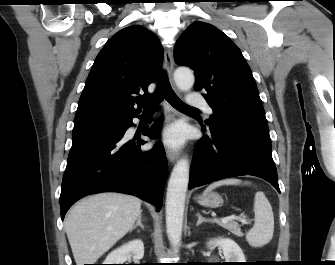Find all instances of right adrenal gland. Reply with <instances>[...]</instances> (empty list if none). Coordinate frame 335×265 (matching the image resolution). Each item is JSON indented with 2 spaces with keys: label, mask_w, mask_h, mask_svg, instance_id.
Returning <instances> with one entry per match:
<instances>
[{
  "label": "right adrenal gland",
  "mask_w": 335,
  "mask_h": 265,
  "mask_svg": "<svg viewBox=\"0 0 335 265\" xmlns=\"http://www.w3.org/2000/svg\"><path fill=\"white\" fill-rule=\"evenodd\" d=\"M141 213L139 214V216H138V218H137V222H136V224L131 228V232H132V230H134V229H136L138 226H140L142 229H144V226H143V224H142V222H141Z\"/></svg>",
  "instance_id": "obj_1"
}]
</instances>
